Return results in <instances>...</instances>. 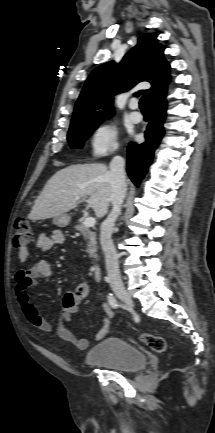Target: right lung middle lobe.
Here are the masks:
<instances>
[{
  "label": "right lung middle lobe",
  "instance_id": "dd1d6c3e",
  "mask_svg": "<svg viewBox=\"0 0 215 433\" xmlns=\"http://www.w3.org/2000/svg\"><path fill=\"white\" fill-rule=\"evenodd\" d=\"M106 119V118H105ZM104 119L71 124L68 132V142L71 147H82L83 142L92 134Z\"/></svg>",
  "mask_w": 215,
  "mask_h": 433
}]
</instances>
